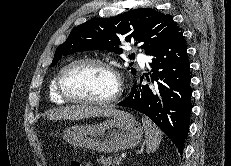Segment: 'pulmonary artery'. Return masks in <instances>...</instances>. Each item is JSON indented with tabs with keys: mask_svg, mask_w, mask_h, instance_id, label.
Here are the masks:
<instances>
[{
	"mask_svg": "<svg viewBox=\"0 0 231 166\" xmlns=\"http://www.w3.org/2000/svg\"><path fill=\"white\" fill-rule=\"evenodd\" d=\"M138 59L142 65H145L148 63V58L145 57L143 54H138Z\"/></svg>",
	"mask_w": 231,
	"mask_h": 166,
	"instance_id": "1",
	"label": "pulmonary artery"
}]
</instances>
